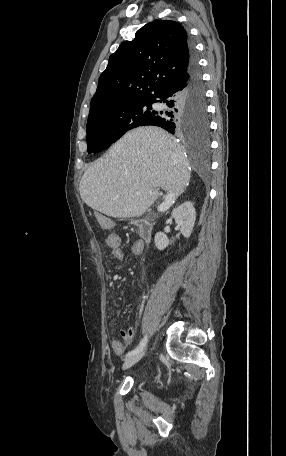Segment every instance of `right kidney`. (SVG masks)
Here are the masks:
<instances>
[{
	"label": "right kidney",
	"mask_w": 286,
	"mask_h": 456,
	"mask_svg": "<svg viewBox=\"0 0 286 456\" xmlns=\"http://www.w3.org/2000/svg\"><path fill=\"white\" fill-rule=\"evenodd\" d=\"M172 217L180 226V232L185 238H189L196 220V212L191 201H186L172 211ZM155 246L159 250L165 249L169 245V239L163 232L155 235Z\"/></svg>",
	"instance_id": "obj_1"
}]
</instances>
